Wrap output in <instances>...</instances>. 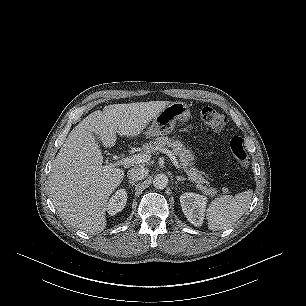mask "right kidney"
I'll return each mask as SVG.
<instances>
[{
  "mask_svg": "<svg viewBox=\"0 0 306 306\" xmlns=\"http://www.w3.org/2000/svg\"><path fill=\"white\" fill-rule=\"evenodd\" d=\"M127 201V192L125 189L117 190L107 203V212L109 215H116L122 211Z\"/></svg>",
  "mask_w": 306,
  "mask_h": 306,
  "instance_id": "right-kidney-1",
  "label": "right kidney"
}]
</instances>
